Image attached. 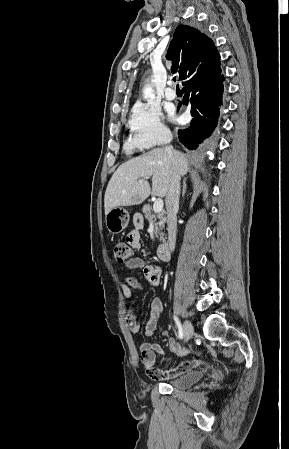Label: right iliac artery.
Masks as SVG:
<instances>
[{
  "label": "right iliac artery",
  "instance_id": "obj_1",
  "mask_svg": "<svg viewBox=\"0 0 289 449\" xmlns=\"http://www.w3.org/2000/svg\"><path fill=\"white\" fill-rule=\"evenodd\" d=\"M174 320H175V323H176V325L178 327V336H179L180 339H182L183 336H184V332H183L181 323H180V321L178 320V318L176 316H174Z\"/></svg>",
  "mask_w": 289,
  "mask_h": 449
}]
</instances>
